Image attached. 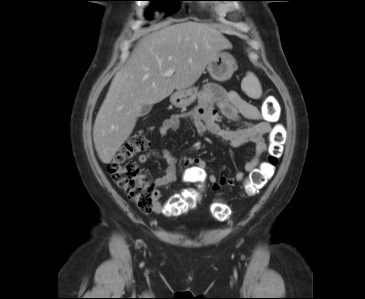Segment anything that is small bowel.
<instances>
[{
    "label": "small bowel",
    "instance_id": "c3829d8e",
    "mask_svg": "<svg viewBox=\"0 0 365 299\" xmlns=\"http://www.w3.org/2000/svg\"><path fill=\"white\" fill-rule=\"evenodd\" d=\"M220 115L241 126L227 129L220 125ZM242 119H244L242 121ZM182 121L190 123L200 135L216 136L230 147H239L246 142L255 144V155L245 164L243 171H238L232 177H222L208 173L206 162L199 157L185 159L187 181H204L214 188L223 185L233 186L244 179L245 174L254 172L261 163L262 156L267 152L266 135L271 126L255 106L243 99L234 91L226 92L214 84H208L201 92L199 102L187 112L175 113L164 120L158 129L161 137L176 130ZM151 158L163 159L167 162L165 173L154 180L156 187H165L176 180V158L167 150L152 149L139 157L141 164ZM159 192H156L158 198ZM161 205H156V211H161Z\"/></svg>",
    "mask_w": 365,
    "mask_h": 299
}]
</instances>
